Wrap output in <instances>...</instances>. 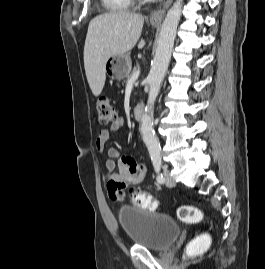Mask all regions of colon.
<instances>
[{
    "label": "colon",
    "mask_w": 265,
    "mask_h": 269,
    "mask_svg": "<svg viewBox=\"0 0 265 269\" xmlns=\"http://www.w3.org/2000/svg\"><path fill=\"white\" fill-rule=\"evenodd\" d=\"M99 123L102 125L112 124L117 120V112L109 99L100 98L96 104ZM131 201L134 205L146 210H154L157 207L156 199L143 190H133ZM178 216L185 222H198L202 219V213L193 205H182L178 210ZM202 239L191 242L187 248L188 255H194L201 246Z\"/></svg>",
    "instance_id": "obj_1"
}]
</instances>
